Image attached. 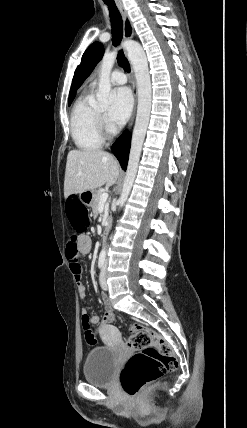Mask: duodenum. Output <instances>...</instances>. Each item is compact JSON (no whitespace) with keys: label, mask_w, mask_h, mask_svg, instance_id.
<instances>
[{"label":"duodenum","mask_w":247,"mask_h":428,"mask_svg":"<svg viewBox=\"0 0 247 428\" xmlns=\"http://www.w3.org/2000/svg\"><path fill=\"white\" fill-rule=\"evenodd\" d=\"M108 230H109V223H108V222H106V223L104 224V226H103V230H102V239H105V237H106V235H107V233H108Z\"/></svg>","instance_id":"410a0bca"}]
</instances>
